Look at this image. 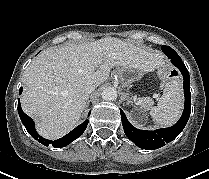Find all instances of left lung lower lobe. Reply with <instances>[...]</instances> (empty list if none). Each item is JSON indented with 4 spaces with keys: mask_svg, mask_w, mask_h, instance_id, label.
Instances as JSON below:
<instances>
[{
    "mask_svg": "<svg viewBox=\"0 0 209 179\" xmlns=\"http://www.w3.org/2000/svg\"><path fill=\"white\" fill-rule=\"evenodd\" d=\"M164 53L171 59L172 64L180 70L184 79L183 87L185 95V106L179 121L169 128L156 129L154 131L140 130L130 124L125 113L120 109L122 125L126 136L138 147L147 150L158 149L164 146L166 143L173 141L184 129L190 116L191 93L189 87V72L179 55L173 49L172 51H166Z\"/></svg>",
    "mask_w": 209,
    "mask_h": 179,
    "instance_id": "0a47b994",
    "label": "left lung lower lobe"
}]
</instances>
